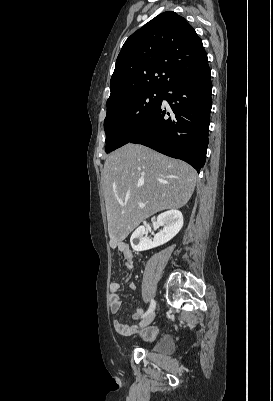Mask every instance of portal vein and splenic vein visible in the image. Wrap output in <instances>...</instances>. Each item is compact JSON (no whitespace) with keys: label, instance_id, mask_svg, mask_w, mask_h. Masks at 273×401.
Returning a JSON list of instances; mask_svg holds the SVG:
<instances>
[{"label":"portal vein and splenic vein","instance_id":"18ae733b","mask_svg":"<svg viewBox=\"0 0 273 401\" xmlns=\"http://www.w3.org/2000/svg\"><path fill=\"white\" fill-rule=\"evenodd\" d=\"M138 207H142V209H143V207H145V205H144V203H139Z\"/></svg>","mask_w":273,"mask_h":401}]
</instances>
